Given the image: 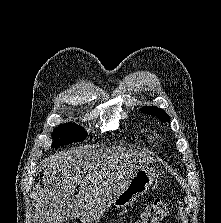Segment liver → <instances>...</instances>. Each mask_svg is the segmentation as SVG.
I'll list each match as a JSON object with an SVG mask.
<instances>
[{
	"mask_svg": "<svg viewBox=\"0 0 221 223\" xmlns=\"http://www.w3.org/2000/svg\"><path fill=\"white\" fill-rule=\"evenodd\" d=\"M153 160L148 152L120 146L80 147L49 156L42 162L39 223H66L75 218L82 223L97 222L134 172Z\"/></svg>",
	"mask_w": 221,
	"mask_h": 223,
	"instance_id": "liver-1",
	"label": "liver"
}]
</instances>
